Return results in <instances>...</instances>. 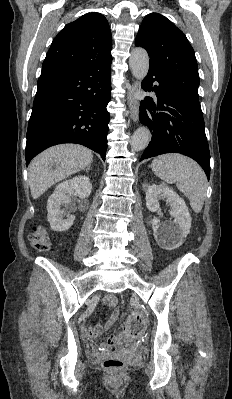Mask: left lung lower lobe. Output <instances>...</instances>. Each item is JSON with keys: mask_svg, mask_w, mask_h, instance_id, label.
Listing matches in <instances>:
<instances>
[{"mask_svg": "<svg viewBox=\"0 0 232 399\" xmlns=\"http://www.w3.org/2000/svg\"><path fill=\"white\" fill-rule=\"evenodd\" d=\"M154 82L156 85L152 87ZM142 88L155 91L157 100L147 96L141 102L139 119L151 130L152 140L140 160L164 153H180L198 162L209 180L210 152L202 112L155 70L149 69Z\"/></svg>", "mask_w": 232, "mask_h": 399, "instance_id": "obj_1", "label": "left lung lower lobe"}]
</instances>
